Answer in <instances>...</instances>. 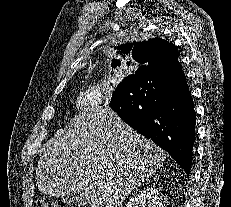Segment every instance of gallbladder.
<instances>
[{"label":"gallbladder","mask_w":231,"mask_h":207,"mask_svg":"<svg viewBox=\"0 0 231 207\" xmlns=\"http://www.w3.org/2000/svg\"><path fill=\"white\" fill-rule=\"evenodd\" d=\"M65 201L67 203L75 204V205L83 206V207L86 206L88 203L86 197L83 194L77 193V192H72L68 194L65 197Z\"/></svg>","instance_id":"obj_1"}]
</instances>
